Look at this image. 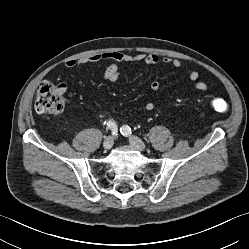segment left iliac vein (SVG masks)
Listing matches in <instances>:
<instances>
[{
	"label": "left iliac vein",
	"instance_id": "obj_1",
	"mask_svg": "<svg viewBox=\"0 0 249 249\" xmlns=\"http://www.w3.org/2000/svg\"><path fill=\"white\" fill-rule=\"evenodd\" d=\"M129 142L134 148L139 151H144L146 149V145L144 144V142L136 136H130Z\"/></svg>",
	"mask_w": 249,
	"mask_h": 249
}]
</instances>
